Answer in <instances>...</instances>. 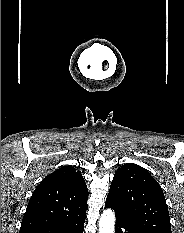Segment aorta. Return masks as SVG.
<instances>
[{
    "instance_id": "obj_1",
    "label": "aorta",
    "mask_w": 184,
    "mask_h": 233,
    "mask_svg": "<svg viewBox=\"0 0 184 233\" xmlns=\"http://www.w3.org/2000/svg\"><path fill=\"white\" fill-rule=\"evenodd\" d=\"M115 214L111 209H107L101 215L99 221V233H114Z\"/></svg>"
}]
</instances>
